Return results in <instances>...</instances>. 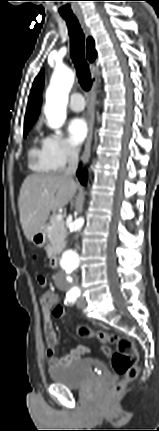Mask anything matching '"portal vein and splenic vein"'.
Returning <instances> with one entry per match:
<instances>
[{
	"mask_svg": "<svg viewBox=\"0 0 159 431\" xmlns=\"http://www.w3.org/2000/svg\"><path fill=\"white\" fill-rule=\"evenodd\" d=\"M55 219L57 222H60L63 220V216L61 214H58V215H56Z\"/></svg>",
	"mask_w": 159,
	"mask_h": 431,
	"instance_id": "obj_1",
	"label": "portal vein and splenic vein"
}]
</instances>
